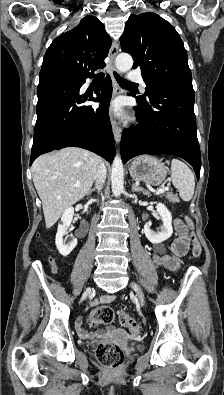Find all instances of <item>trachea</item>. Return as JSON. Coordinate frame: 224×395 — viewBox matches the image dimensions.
<instances>
[{
  "label": "trachea",
  "mask_w": 224,
  "mask_h": 395,
  "mask_svg": "<svg viewBox=\"0 0 224 395\" xmlns=\"http://www.w3.org/2000/svg\"><path fill=\"white\" fill-rule=\"evenodd\" d=\"M114 74H115V77H116L117 82H118L121 86H133V85H137V84H135V83H133V82L127 81L126 79L120 77L117 73H114ZM103 77H104V74H103L102 72H101V73H98V74L95 76V78H99V79H102Z\"/></svg>",
  "instance_id": "3493384b"
}]
</instances>
